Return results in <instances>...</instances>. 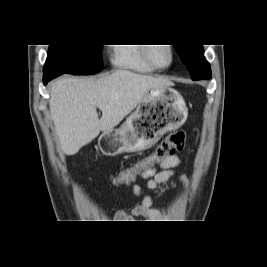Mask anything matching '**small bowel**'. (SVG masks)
<instances>
[{"label": "small bowel", "mask_w": 267, "mask_h": 267, "mask_svg": "<svg viewBox=\"0 0 267 267\" xmlns=\"http://www.w3.org/2000/svg\"><path fill=\"white\" fill-rule=\"evenodd\" d=\"M180 163L181 160L178 156H169L162 160L157 167H151L139 172L138 176L140 179L147 181L146 187L148 190H154L159 184L167 182L175 175V168ZM180 180L185 185L188 184L186 176L181 175ZM133 191L135 195H141V187L139 185H134ZM136 217H145L152 220L160 218V212L152 207V199L149 196H144L140 205L136 206L132 211L118 210L115 215V218L119 221H126Z\"/></svg>", "instance_id": "1"}]
</instances>
